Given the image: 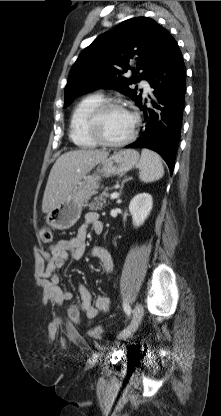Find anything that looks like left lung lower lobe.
<instances>
[{
	"instance_id": "0a47b994",
	"label": "left lung lower lobe",
	"mask_w": 221,
	"mask_h": 416,
	"mask_svg": "<svg viewBox=\"0 0 221 416\" xmlns=\"http://www.w3.org/2000/svg\"><path fill=\"white\" fill-rule=\"evenodd\" d=\"M147 81L154 89L152 107L143 99V134L126 148L143 147L159 153L173 173L186 92V68L175 39L167 31Z\"/></svg>"
}]
</instances>
